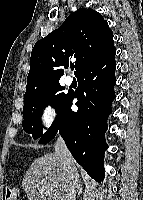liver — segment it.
Masks as SVG:
<instances>
[{"label":"liver","instance_id":"obj_1","mask_svg":"<svg viewBox=\"0 0 143 200\" xmlns=\"http://www.w3.org/2000/svg\"><path fill=\"white\" fill-rule=\"evenodd\" d=\"M22 186L29 198L46 187L50 191L48 200H65L67 181L61 156L53 152L37 158L25 173Z\"/></svg>","mask_w":143,"mask_h":200}]
</instances>
